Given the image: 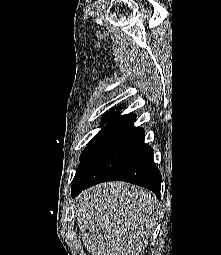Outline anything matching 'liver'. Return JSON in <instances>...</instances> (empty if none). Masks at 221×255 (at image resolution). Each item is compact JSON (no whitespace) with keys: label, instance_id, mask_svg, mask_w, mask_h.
I'll use <instances>...</instances> for the list:
<instances>
[{"label":"liver","instance_id":"1","mask_svg":"<svg viewBox=\"0 0 221 255\" xmlns=\"http://www.w3.org/2000/svg\"><path fill=\"white\" fill-rule=\"evenodd\" d=\"M74 216L91 255H142L158 217L155 195L124 182H107L76 197Z\"/></svg>","mask_w":221,"mask_h":255}]
</instances>
